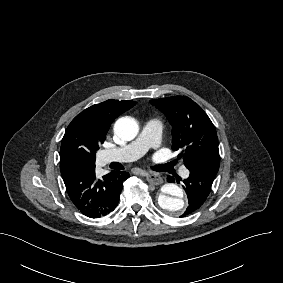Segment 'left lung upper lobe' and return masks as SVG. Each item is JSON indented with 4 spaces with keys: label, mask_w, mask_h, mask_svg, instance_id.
I'll return each instance as SVG.
<instances>
[{
    "label": "left lung upper lobe",
    "mask_w": 283,
    "mask_h": 283,
    "mask_svg": "<svg viewBox=\"0 0 283 283\" xmlns=\"http://www.w3.org/2000/svg\"><path fill=\"white\" fill-rule=\"evenodd\" d=\"M172 125V149H180L185 166L219 167L220 156L215 127L203 109L186 96L151 100Z\"/></svg>",
    "instance_id": "5c2ea615"
}]
</instances>
